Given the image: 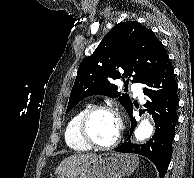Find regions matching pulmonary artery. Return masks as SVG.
I'll use <instances>...</instances> for the list:
<instances>
[{"instance_id": "obj_1", "label": "pulmonary artery", "mask_w": 194, "mask_h": 178, "mask_svg": "<svg viewBox=\"0 0 194 178\" xmlns=\"http://www.w3.org/2000/svg\"><path fill=\"white\" fill-rule=\"evenodd\" d=\"M133 92L136 96H138L139 98H142L143 96V92L142 89L140 88V86L138 85H133L132 86Z\"/></svg>"}]
</instances>
